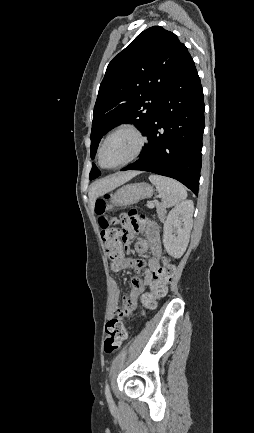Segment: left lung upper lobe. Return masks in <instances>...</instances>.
<instances>
[{
  "label": "left lung upper lobe",
  "instance_id": "5c2ea615",
  "mask_svg": "<svg viewBox=\"0 0 254 433\" xmlns=\"http://www.w3.org/2000/svg\"><path fill=\"white\" fill-rule=\"evenodd\" d=\"M188 53L177 36L160 26L140 33L109 63L93 112L91 158L102 136L121 122L145 133L159 102ZM92 165L89 179L100 176Z\"/></svg>",
  "mask_w": 254,
  "mask_h": 433
}]
</instances>
